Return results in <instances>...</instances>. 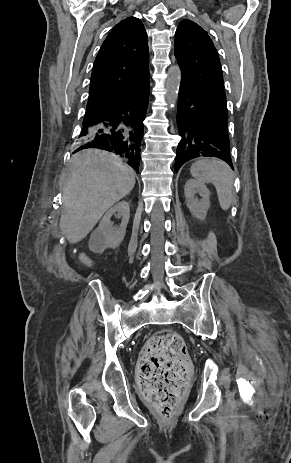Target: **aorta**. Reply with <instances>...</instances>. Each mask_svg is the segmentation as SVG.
<instances>
[{
	"instance_id": "1",
	"label": "aorta",
	"mask_w": 291,
	"mask_h": 463,
	"mask_svg": "<svg viewBox=\"0 0 291 463\" xmlns=\"http://www.w3.org/2000/svg\"><path fill=\"white\" fill-rule=\"evenodd\" d=\"M169 78L166 83L167 88V101L168 103H174L177 94L179 91L180 83H181V71L178 66L171 67L169 69Z\"/></svg>"
}]
</instances>
